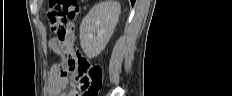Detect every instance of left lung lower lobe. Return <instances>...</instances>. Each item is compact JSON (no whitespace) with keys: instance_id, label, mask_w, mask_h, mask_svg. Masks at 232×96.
<instances>
[{"instance_id":"1","label":"left lung lower lobe","mask_w":232,"mask_h":96,"mask_svg":"<svg viewBox=\"0 0 232 96\" xmlns=\"http://www.w3.org/2000/svg\"><path fill=\"white\" fill-rule=\"evenodd\" d=\"M135 2V0H131V3L133 4Z\"/></svg>"}]
</instances>
